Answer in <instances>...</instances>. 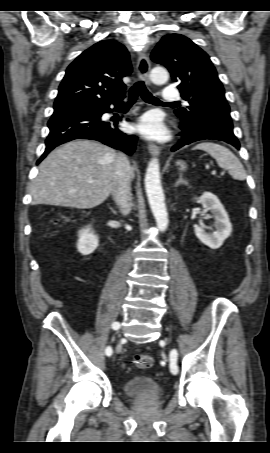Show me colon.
I'll use <instances>...</instances> for the list:
<instances>
[{"label":"colon","mask_w":270,"mask_h":453,"mask_svg":"<svg viewBox=\"0 0 270 453\" xmlns=\"http://www.w3.org/2000/svg\"><path fill=\"white\" fill-rule=\"evenodd\" d=\"M135 365L138 369H148L153 365V358L149 354H138L135 359Z\"/></svg>","instance_id":"colon-1"}]
</instances>
